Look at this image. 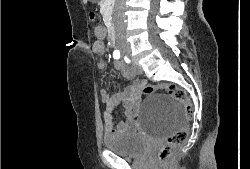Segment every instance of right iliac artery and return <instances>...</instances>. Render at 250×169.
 I'll return each instance as SVG.
<instances>
[{
  "instance_id": "obj_1",
  "label": "right iliac artery",
  "mask_w": 250,
  "mask_h": 169,
  "mask_svg": "<svg viewBox=\"0 0 250 169\" xmlns=\"http://www.w3.org/2000/svg\"><path fill=\"white\" fill-rule=\"evenodd\" d=\"M113 57H114V59H119L120 58V52L119 51H114L113 52Z\"/></svg>"
}]
</instances>
